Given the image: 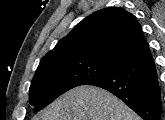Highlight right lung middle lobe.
<instances>
[{
	"mask_svg": "<svg viewBox=\"0 0 165 120\" xmlns=\"http://www.w3.org/2000/svg\"><path fill=\"white\" fill-rule=\"evenodd\" d=\"M117 66L87 58L39 64L30 86V104L37 112L68 90L88 84Z\"/></svg>",
	"mask_w": 165,
	"mask_h": 120,
	"instance_id": "right-lung-middle-lobe-1",
	"label": "right lung middle lobe"
}]
</instances>
